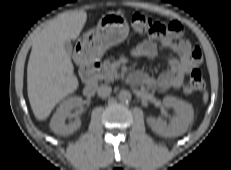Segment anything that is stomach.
<instances>
[{"instance_id": "stomach-1", "label": "stomach", "mask_w": 231, "mask_h": 170, "mask_svg": "<svg viewBox=\"0 0 231 170\" xmlns=\"http://www.w3.org/2000/svg\"><path fill=\"white\" fill-rule=\"evenodd\" d=\"M129 33L126 19L116 13L103 15L96 28L83 35L80 41L83 49L95 57H100L112 46L123 42Z\"/></svg>"}]
</instances>
